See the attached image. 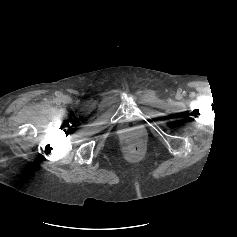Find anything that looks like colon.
I'll return each mask as SVG.
<instances>
[{
    "instance_id": "obj_1",
    "label": "colon",
    "mask_w": 237,
    "mask_h": 237,
    "mask_svg": "<svg viewBox=\"0 0 237 237\" xmlns=\"http://www.w3.org/2000/svg\"><path fill=\"white\" fill-rule=\"evenodd\" d=\"M127 149L131 152H136L140 149V144L137 140L134 139L129 140L127 142Z\"/></svg>"
}]
</instances>
